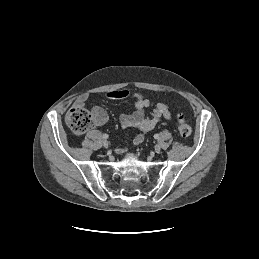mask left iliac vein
Listing matches in <instances>:
<instances>
[{
    "instance_id": "obj_1",
    "label": "left iliac vein",
    "mask_w": 259,
    "mask_h": 259,
    "mask_svg": "<svg viewBox=\"0 0 259 259\" xmlns=\"http://www.w3.org/2000/svg\"><path fill=\"white\" fill-rule=\"evenodd\" d=\"M154 150H155L156 153H159L160 150H161V146L159 144L155 145Z\"/></svg>"
}]
</instances>
